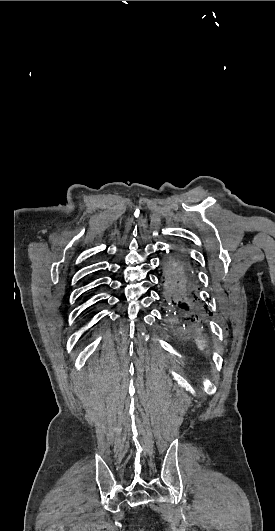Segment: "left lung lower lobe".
Returning a JSON list of instances; mask_svg holds the SVG:
<instances>
[{"label":"left lung lower lobe","mask_w":275,"mask_h":531,"mask_svg":"<svg viewBox=\"0 0 275 531\" xmlns=\"http://www.w3.org/2000/svg\"><path fill=\"white\" fill-rule=\"evenodd\" d=\"M162 260V296L166 312L197 317L206 311L207 307L200 297L195 266L188 252L177 245Z\"/></svg>","instance_id":"1"}]
</instances>
